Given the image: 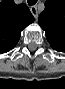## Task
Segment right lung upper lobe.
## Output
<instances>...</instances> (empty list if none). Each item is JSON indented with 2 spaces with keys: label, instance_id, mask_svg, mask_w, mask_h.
I'll list each match as a JSON object with an SVG mask.
<instances>
[{
  "label": "right lung upper lobe",
  "instance_id": "cb5924a9",
  "mask_svg": "<svg viewBox=\"0 0 65 89\" xmlns=\"http://www.w3.org/2000/svg\"><path fill=\"white\" fill-rule=\"evenodd\" d=\"M34 22V17L25 4L13 0L0 3V54L13 49L18 43L21 31Z\"/></svg>",
  "mask_w": 65,
  "mask_h": 89
}]
</instances>
